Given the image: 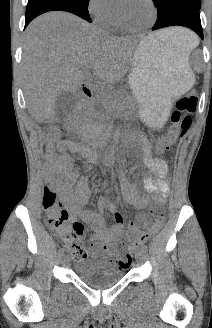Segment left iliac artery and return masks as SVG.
<instances>
[{"label": "left iliac artery", "mask_w": 212, "mask_h": 328, "mask_svg": "<svg viewBox=\"0 0 212 328\" xmlns=\"http://www.w3.org/2000/svg\"><path fill=\"white\" fill-rule=\"evenodd\" d=\"M141 249H142L144 252H147L148 247H147V245H142V246H141Z\"/></svg>", "instance_id": "obj_1"}]
</instances>
